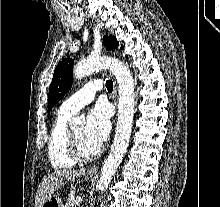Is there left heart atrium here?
Listing matches in <instances>:
<instances>
[{
  "mask_svg": "<svg viewBox=\"0 0 220 207\" xmlns=\"http://www.w3.org/2000/svg\"><path fill=\"white\" fill-rule=\"evenodd\" d=\"M110 110L104 103L96 104L87 115L85 135L96 147L106 141L111 128Z\"/></svg>",
  "mask_w": 220,
  "mask_h": 207,
  "instance_id": "obj_1",
  "label": "left heart atrium"
}]
</instances>
